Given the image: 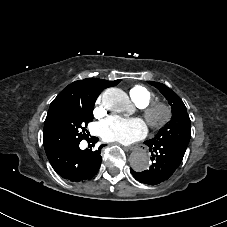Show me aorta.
Listing matches in <instances>:
<instances>
[{"label": "aorta", "instance_id": "obj_1", "mask_svg": "<svg viewBox=\"0 0 227 227\" xmlns=\"http://www.w3.org/2000/svg\"><path fill=\"white\" fill-rule=\"evenodd\" d=\"M103 105L108 109H122L128 101L127 94L118 88L107 89L102 96ZM149 157L147 153L140 149L132 153L130 158L131 168L142 172L149 166Z\"/></svg>", "mask_w": 227, "mask_h": 227}]
</instances>
